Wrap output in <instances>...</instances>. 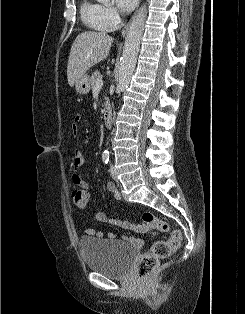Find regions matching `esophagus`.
Returning <instances> with one entry per match:
<instances>
[{"label":"esophagus","instance_id":"1","mask_svg":"<svg viewBox=\"0 0 245 314\" xmlns=\"http://www.w3.org/2000/svg\"><path fill=\"white\" fill-rule=\"evenodd\" d=\"M133 17H134V15L132 16L131 20L133 19ZM131 20H130V21L125 25V27L123 28L122 33H121V36H122V37L126 36V34L128 33Z\"/></svg>","mask_w":245,"mask_h":314}]
</instances>
